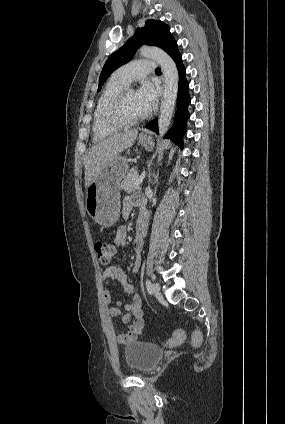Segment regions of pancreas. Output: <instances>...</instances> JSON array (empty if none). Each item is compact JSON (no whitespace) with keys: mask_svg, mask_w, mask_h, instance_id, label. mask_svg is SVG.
<instances>
[{"mask_svg":"<svg viewBox=\"0 0 285 424\" xmlns=\"http://www.w3.org/2000/svg\"><path fill=\"white\" fill-rule=\"evenodd\" d=\"M138 177L139 176L134 169L130 170L121 183V189L127 193H131L132 191L138 189L139 186L135 185Z\"/></svg>","mask_w":285,"mask_h":424,"instance_id":"obj_1","label":"pancreas"}]
</instances>
